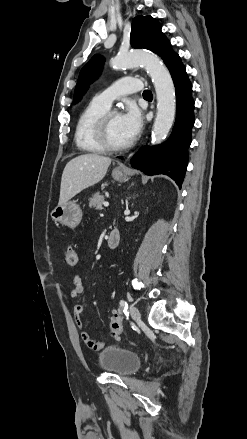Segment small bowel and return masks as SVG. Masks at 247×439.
<instances>
[{
  "label": "small bowel",
  "mask_w": 247,
  "mask_h": 439,
  "mask_svg": "<svg viewBox=\"0 0 247 439\" xmlns=\"http://www.w3.org/2000/svg\"><path fill=\"white\" fill-rule=\"evenodd\" d=\"M72 298H79V301L75 304L73 309V315L77 327L80 329V336L87 348L90 350L98 351L105 346V342L101 340H94L90 337L87 331L83 329L82 316L86 306L84 285L80 276L76 275L73 278V288L71 291Z\"/></svg>",
  "instance_id": "small-bowel-1"
}]
</instances>
